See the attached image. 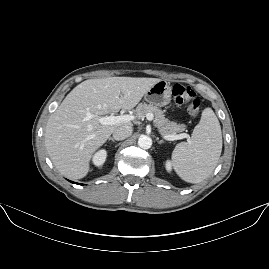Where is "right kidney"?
<instances>
[{
	"label": "right kidney",
	"instance_id": "ca27d5eb",
	"mask_svg": "<svg viewBox=\"0 0 269 269\" xmlns=\"http://www.w3.org/2000/svg\"><path fill=\"white\" fill-rule=\"evenodd\" d=\"M107 157V152L106 150H99L98 152H96L93 156V164L97 167L102 166L106 160Z\"/></svg>",
	"mask_w": 269,
	"mask_h": 269
}]
</instances>
